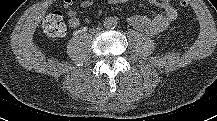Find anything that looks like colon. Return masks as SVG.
Listing matches in <instances>:
<instances>
[{
	"label": "colon",
	"mask_w": 217,
	"mask_h": 121,
	"mask_svg": "<svg viewBox=\"0 0 217 121\" xmlns=\"http://www.w3.org/2000/svg\"><path fill=\"white\" fill-rule=\"evenodd\" d=\"M180 6H187L188 0H177ZM44 31L52 37H61L65 35L67 28L61 12L55 11L48 14L43 20Z\"/></svg>",
	"instance_id": "obj_1"
}]
</instances>
